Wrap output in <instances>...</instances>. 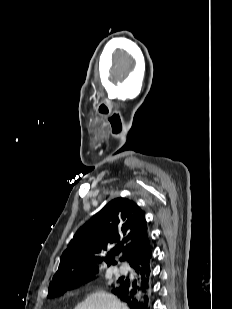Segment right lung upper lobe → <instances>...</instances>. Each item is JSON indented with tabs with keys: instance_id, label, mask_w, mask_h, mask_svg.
<instances>
[{
	"instance_id": "1",
	"label": "right lung upper lobe",
	"mask_w": 232,
	"mask_h": 309,
	"mask_svg": "<svg viewBox=\"0 0 232 309\" xmlns=\"http://www.w3.org/2000/svg\"><path fill=\"white\" fill-rule=\"evenodd\" d=\"M120 254V261L130 265L152 255L144 212L125 198L113 199L77 230L49 288L57 282L97 273L102 262L115 265L114 257Z\"/></svg>"
}]
</instances>
